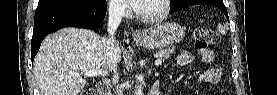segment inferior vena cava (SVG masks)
I'll return each instance as SVG.
<instances>
[{
	"mask_svg": "<svg viewBox=\"0 0 277 95\" xmlns=\"http://www.w3.org/2000/svg\"><path fill=\"white\" fill-rule=\"evenodd\" d=\"M123 7L119 4H111L109 6V17H108V34L107 39V57H108V70L112 73L111 83L116 87L118 84V73H117V52L119 51L118 43L116 42L114 35L121 22L123 16ZM116 95H121L118 90V86L115 91Z\"/></svg>",
	"mask_w": 277,
	"mask_h": 95,
	"instance_id": "1",
	"label": "inferior vena cava"
}]
</instances>
